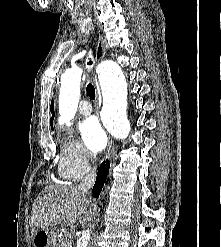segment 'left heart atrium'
Listing matches in <instances>:
<instances>
[{
  "label": "left heart atrium",
  "instance_id": "obj_1",
  "mask_svg": "<svg viewBox=\"0 0 221 247\" xmlns=\"http://www.w3.org/2000/svg\"><path fill=\"white\" fill-rule=\"evenodd\" d=\"M80 133L85 146L90 151L99 152L106 146V133L95 117L87 118L81 123Z\"/></svg>",
  "mask_w": 221,
  "mask_h": 247
}]
</instances>
